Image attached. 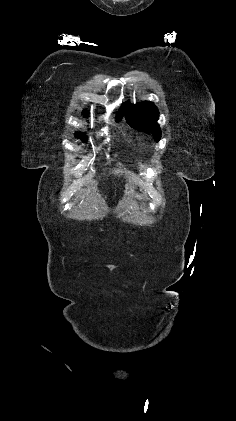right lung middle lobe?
Wrapping results in <instances>:
<instances>
[{"label":"right lung middle lobe","instance_id":"1","mask_svg":"<svg viewBox=\"0 0 236 421\" xmlns=\"http://www.w3.org/2000/svg\"><path fill=\"white\" fill-rule=\"evenodd\" d=\"M84 114H85V112H84ZM123 115H124V112H120V113L118 114L117 121H120ZM76 136H77L78 138H80V139L84 140V141H85V140H86V138H87V137H86L83 133H81V132H77V133H76Z\"/></svg>","mask_w":236,"mask_h":421}]
</instances>
